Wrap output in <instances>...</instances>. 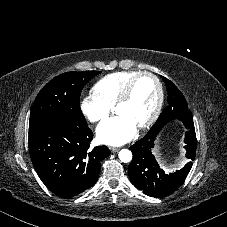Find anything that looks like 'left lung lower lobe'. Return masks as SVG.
I'll return each mask as SVG.
<instances>
[{
  "label": "left lung lower lobe",
  "instance_id": "left-lung-lower-lobe-1",
  "mask_svg": "<svg viewBox=\"0 0 227 227\" xmlns=\"http://www.w3.org/2000/svg\"><path fill=\"white\" fill-rule=\"evenodd\" d=\"M186 157L194 160L196 155V134L194 123L186 126ZM158 134L145 136L131 146L133 159L128 167L131 182L139 190L151 197H165L176 191L185 181L192 162H188L181 170L166 174L152 154L154 141Z\"/></svg>",
  "mask_w": 227,
  "mask_h": 227
}]
</instances>
